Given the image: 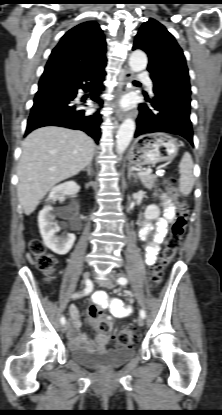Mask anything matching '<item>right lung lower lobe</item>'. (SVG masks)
Masks as SVG:
<instances>
[{
  "instance_id": "98d812e1",
  "label": "right lung lower lobe",
  "mask_w": 222,
  "mask_h": 415,
  "mask_svg": "<svg viewBox=\"0 0 222 415\" xmlns=\"http://www.w3.org/2000/svg\"><path fill=\"white\" fill-rule=\"evenodd\" d=\"M106 66V65H105ZM105 66L77 72L60 67H45L27 123L25 135L43 126H61L79 129L91 136L96 143L101 137L99 112L87 113L75 100L77 91H90V99L102 105L99 98L104 88Z\"/></svg>"
}]
</instances>
